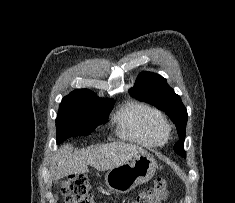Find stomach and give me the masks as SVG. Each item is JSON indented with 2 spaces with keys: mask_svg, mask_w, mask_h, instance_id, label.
<instances>
[{
  "mask_svg": "<svg viewBox=\"0 0 235 203\" xmlns=\"http://www.w3.org/2000/svg\"><path fill=\"white\" fill-rule=\"evenodd\" d=\"M157 162L150 154H140L118 167L110 169L105 175V183L114 192L127 193L148 182L155 174Z\"/></svg>",
  "mask_w": 235,
  "mask_h": 203,
  "instance_id": "obj_1",
  "label": "stomach"
}]
</instances>
